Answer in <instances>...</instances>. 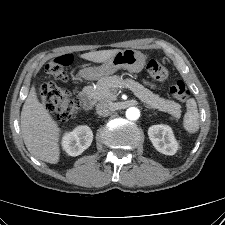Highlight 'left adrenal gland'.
<instances>
[{
    "label": "left adrenal gland",
    "instance_id": "left-adrenal-gland-1",
    "mask_svg": "<svg viewBox=\"0 0 225 225\" xmlns=\"http://www.w3.org/2000/svg\"><path fill=\"white\" fill-rule=\"evenodd\" d=\"M145 107H147V108H151V107H149V106H145Z\"/></svg>",
    "mask_w": 225,
    "mask_h": 225
}]
</instances>
